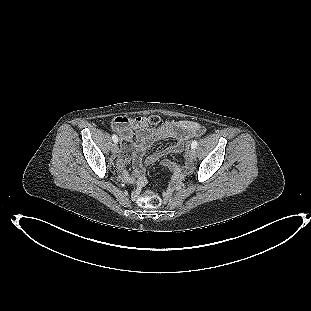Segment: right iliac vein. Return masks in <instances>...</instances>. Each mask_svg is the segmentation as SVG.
I'll return each mask as SVG.
<instances>
[{
    "label": "right iliac vein",
    "instance_id": "obj_1",
    "mask_svg": "<svg viewBox=\"0 0 311 311\" xmlns=\"http://www.w3.org/2000/svg\"><path fill=\"white\" fill-rule=\"evenodd\" d=\"M118 149H119L118 144H117V143H114V144L112 145V148H111L112 153L117 154V153H118Z\"/></svg>",
    "mask_w": 311,
    "mask_h": 311
}]
</instances>
